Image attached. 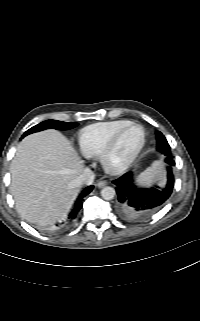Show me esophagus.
Wrapping results in <instances>:
<instances>
[{
    "mask_svg": "<svg viewBox=\"0 0 200 321\" xmlns=\"http://www.w3.org/2000/svg\"><path fill=\"white\" fill-rule=\"evenodd\" d=\"M106 185H107V182L105 180H100V181L97 182V186L99 188H103Z\"/></svg>",
    "mask_w": 200,
    "mask_h": 321,
    "instance_id": "34e87169",
    "label": "esophagus"
}]
</instances>
